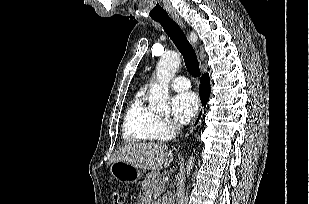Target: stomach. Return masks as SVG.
I'll list each match as a JSON object with an SVG mask.
<instances>
[{
    "label": "stomach",
    "instance_id": "0dacf381",
    "mask_svg": "<svg viewBox=\"0 0 309 204\" xmlns=\"http://www.w3.org/2000/svg\"><path fill=\"white\" fill-rule=\"evenodd\" d=\"M109 171L114 179L122 183H136L143 177L142 170L123 161L111 163Z\"/></svg>",
    "mask_w": 309,
    "mask_h": 204
}]
</instances>
